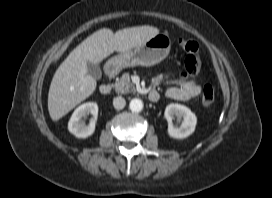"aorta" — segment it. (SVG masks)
Returning a JSON list of instances; mask_svg holds the SVG:
<instances>
[{"label":"aorta","instance_id":"762f6f07","mask_svg":"<svg viewBox=\"0 0 272 198\" xmlns=\"http://www.w3.org/2000/svg\"><path fill=\"white\" fill-rule=\"evenodd\" d=\"M129 108L132 112H141L143 109V102L138 98H134L130 101Z\"/></svg>","mask_w":272,"mask_h":198}]
</instances>
